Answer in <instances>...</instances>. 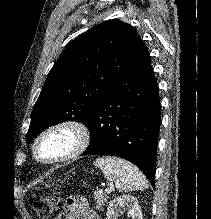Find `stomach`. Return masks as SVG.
I'll return each instance as SVG.
<instances>
[{
	"mask_svg": "<svg viewBox=\"0 0 211 219\" xmlns=\"http://www.w3.org/2000/svg\"><path fill=\"white\" fill-rule=\"evenodd\" d=\"M46 187H50V185H46Z\"/></svg>",
	"mask_w": 211,
	"mask_h": 219,
	"instance_id": "1",
	"label": "stomach"
}]
</instances>
